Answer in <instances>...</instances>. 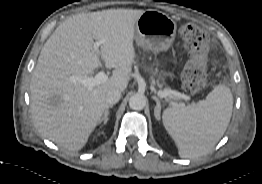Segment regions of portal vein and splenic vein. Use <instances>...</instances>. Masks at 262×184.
<instances>
[{
  "label": "portal vein and splenic vein",
  "mask_w": 262,
  "mask_h": 184,
  "mask_svg": "<svg viewBox=\"0 0 262 184\" xmlns=\"http://www.w3.org/2000/svg\"><path fill=\"white\" fill-rule=\"evenodd\" d=\"M104 42H105V40L102 39V40L96 41L94 43L93 50L97 54H100L99 47ZM107 79H108L107 75L105 74V72L103 70H101L94 77H72L71 80L73 82H80L84 86H86L89 90H91L94 86L107 81ZM171 94L175 95L179 99H184V100H190L191 99L189 96L182 94V93H179V92H175V91H159L157 93V95L160 98H166Z\"/></svg>",
  "instance_id": "obj_1"
}]
</instances>
